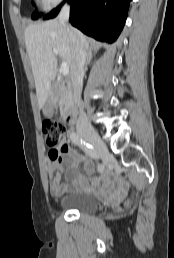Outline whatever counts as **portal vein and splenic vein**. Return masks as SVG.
<instances>
[{"mask_svg": "<svg viewBox=\"0 0 174 258\" xmlns=\"http://www.w3.org/2000/svg\"><path fill=\"white\" fill-rule=\"evenodd\" d=\"M53 51H54L55 55H58L57 49H54ZM61 73L64 76L69 74V66H68V64L66 62H63L62 65H61Z\"/></svg>", "mask_w": 174, "mask_h": 258, "instance_id": "obj_1", "label": "portal vein and splenic vein"}]
</instances>
